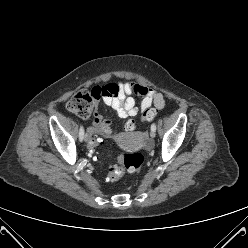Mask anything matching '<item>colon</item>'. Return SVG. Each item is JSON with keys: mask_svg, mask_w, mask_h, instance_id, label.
I'll return each instance as SVG.
<instances>
[{"mask_svg": "<svg viewBox=\"0 0 248 248\" xmlns=\"http://www.w3.org/2000/svg\"><path fill=\"white\" fill-rule=\"evenodd\" d=\"M118 87L114 84H108L103 87H95L90 92L81 91L74 95L68 102L67 108L73 114L82 118L89 117L93 112L94 100L106 95L107 93L116 94ZM157 112L155 109L146 110L142 116V121H151L155 118ZM128 131L136 128V122L129 120L126 125ZM86 142L90 145V153L94 159H98L99 155L95 151L99 142V135L96 129L89 128L85 132ZM144 162V157L140 152L123 153L116 164L111 166L107 171V178L110 180H118L125 174L136 175L140 172Z\"/></svg>", "mask_w": 248, "mask_h": 248, "instance_id": "5ec220e1", "label": "colon"}]
</instances>
